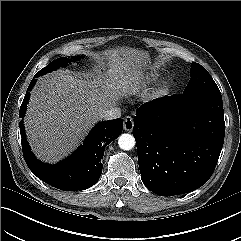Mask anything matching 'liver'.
<instances>
[{
  "label": "liver",
  "instance_id": "obj_1",
  "mask_svg": "<svg viewBox=\"0 0 241 241\" xmlns=\"http://www.w3.org/2000/svg\"><path fill=\"white\" fill-rule=\"evenodd\" d=\"M108 70L72 75L68 70L39 78L31 92L25 128L34 154L55 163L72 152L103 110L142 88L150 56L134 48L104 51Z\"/></svg>",
  "mask_w": 241,
  "mask_h": 241
}]
</instances>
